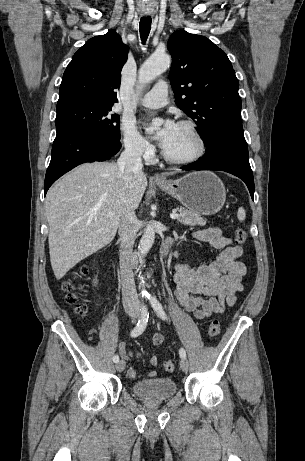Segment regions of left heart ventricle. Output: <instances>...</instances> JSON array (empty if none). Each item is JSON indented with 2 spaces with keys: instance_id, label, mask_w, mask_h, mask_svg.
I'll return each mask as SVG.
<instances>
[{
  "instance_id": "b2bd125f",
  "label": "left heart ventricle",
  "mask_w": 305,
  "mask_h": 461,
  "mask_svg": "<svg viewBox=\"0 0 305 461\" xmlns=\"http://www.w3.org/2000/svg\"><path fill=\"white\" fill-rule=\"evenodd\" d=\"M197 149V143L190 131L177 125L173 140L164 151L175 158H184L192 155Z\"/></svg>"
}]
</instances>
